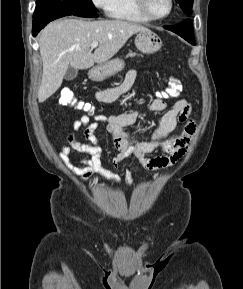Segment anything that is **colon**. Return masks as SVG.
<instances>
[{
	"instance_id": "5ec220e1",
	"label": "colon",
	"mask_w": 243,
	"mask_h": 289,
	"mask_svg": "<svg viewBox=\"0 0 243 289\" xmlns=\"http://www.w3.org/2000/svg\"><path fill=\"white\" fill-rule=\"evenodd\" d=\"M182 90L181 82L177 78H170L169 82L161 93L163 98H176L180 95ZM59 103L63 106L75 107L78 110L85 111L89 114L93 113V108L89 103L79 101L74 92L69 88H64L60 92Z\"/></svg>"
}]
</instances>
